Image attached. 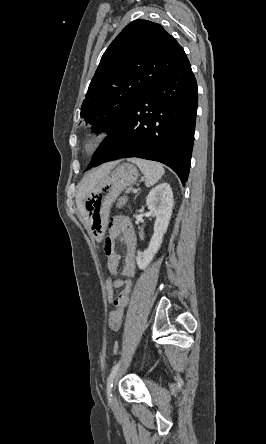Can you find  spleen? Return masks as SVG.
Listing matches in <instances>:
<instances>
[{
  "label": "spleen",
  "mask_w": 266,
  "mask_h": 444,
  "mask_svg": "<svg viewBox=\"0 0 266 444\" xmlns=\"http://www.w3.org/2000/svg\"><path fill=\"white\" fill-rule=\"evenodd\" d=\"M129 161L136 164L141 172L145 175V184L147 187L156 184L164 174V168L162 164L150 160L141 158H131Z\"/></svg>",
  "instance_id": "spleen-1"
}]
</instances>
